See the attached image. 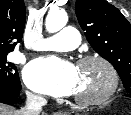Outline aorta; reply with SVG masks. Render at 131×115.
Here are the masks:
<instances>
[{
  "instance_id": "obj_1",
  "label": "aorta",
  "mask_w": 131,
  "mask_h": 115,
  "mask_svg": "<svg viewBox=\"0 0 131 115\" xmlns=\"http://www.w3.org/2000/svg\"><path fill=\"white\" fill-rule=\"evenodd\" d=\"M68 21L67 13L63 10L50 11L45 20L46 30L55 33L61 30Z\"/></svg>"
}]
</instances>
